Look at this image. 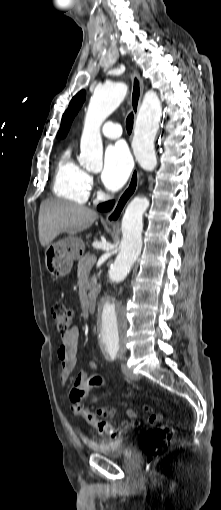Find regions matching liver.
I'll list each match as a JSON object with an SVG mask.
<instances>
[{
	"label": "liver",
	"instance_id": "1",
	"mask_svg": "<svg viewBox=\"0 0 221 510\" xmlns=\"http://www.w3.org/2000/svg\"><path fill=\"white\" fill-rule=\"evenodd\" d=\"M98 213L88 207L60 199H47L40 205L38 229L40 244L48 246L59 234L75 235L89 228ZM91 234L87 235L89 238Z\"/></svg>",
	"mask_w": 221,
	"mask_h": 510
}]
</instances>
